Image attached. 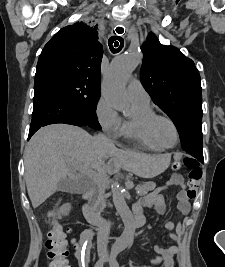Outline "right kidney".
<instances>
[{
  "mask_svg": "<svg viewBox=\"0 0 225 267\" xmlns=\"http://www.w3.org/2000/svg\"><path fill=\"white\" fill-rule=\"evenodd\" d=\"M71 209L70 204H64L63 206L60 207V212L64 215H68L69 211Z\"/></svg>",
  "mask_w": 225,
  "mask_h": 267,
  "instance_id": "1",
  "label": "right kidney"
}]
</instances>
